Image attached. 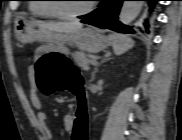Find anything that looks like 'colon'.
<instances>
[{"label":"colon","mask_w":182,"mask_h":140,"mask_svg":"<svg viewBox=\"0 0 182 140\" xmlns=\"http://www.w3.org/2000/svg\"><path fill=\"white\" fill-rule=\"evenodd\" d=\"M34 74L43 94L68 91L75 97L69 137L70 140H89V99L78 68L65 56H42L35 62Z\"/></svg>","instance_id":"colon-1"}]
</instances>
